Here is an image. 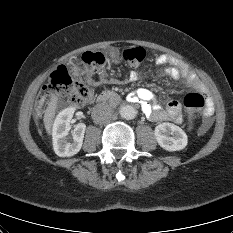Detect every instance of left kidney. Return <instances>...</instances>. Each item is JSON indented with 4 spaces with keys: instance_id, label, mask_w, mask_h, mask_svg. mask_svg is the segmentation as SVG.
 Returning <instances> with one entry per match:
<instances>
[{
    "instance_id": "5707ae66",
    "label": "left kidney",
    "mask_w": 233,
    "mask_h": 233,
    "mask_svg": "<svg viewBox=\"0 0 233 233\" xmlns=\"http://www.w3.org/2000/svg\"><path fill=\"white\" fill-rule=\"evenodd\" d=\"M154 134L160 147L167 151L182 150L188 143L186 133L172 123L159 124L155 127Z\"/></svg>"
}]
</instances>
